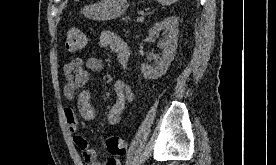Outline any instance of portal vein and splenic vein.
Here are the masks:
<instances>
[{"label":"portal vein and splenic vein","mask_w":276,"mask_h":165,"mask_svg":"<svg viewBox=\"0 0 276 165\" xmlns=\"http://www.w3.org/2000/svg\"><path fill=\"white\" fill-rule=\"evenodd\" d=\"M144 13H141L139 17H137V22H142L144 20Z\"/></svg>","instance_id":"portal-vein-and-splenic-vein-1"}]
</instances>
